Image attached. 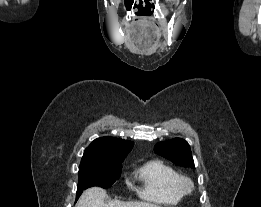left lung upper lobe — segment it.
<instances>
[{"mask_svg": "<svg viewBox=\"0 0 261 207\" xmlns=\"http://www.w3.org/2000/svg\"><path fill=\"white\" fill-rule=\"evenodd\" d=\"M154 151L178 165L194 168L190 146L184 139L174 138L159 142L155 145Z\"/></svg>", "mask_w": 261, "mask_h": 207, "instance_id": "obj_1", "label": "left lung upper lobe"}]
</instances>
